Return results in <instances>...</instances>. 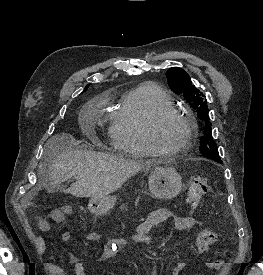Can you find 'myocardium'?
I'll return each instance as SVG.
<instances>
[{"label": "myocardium", "mask_w": 263, "mask_h": 275, "mask_svg": "<svg viewBox=\"0 0 263 275\" xmlns=\"http://www.w3.org/2000/svg\"><path fill=\"white\" fill-rule=\"evenodd\" d=\"M169 118H178L182 120L186 124L188 129V134L185 142L181 146L174 149L163 148L156 139V132L158 127L163 121ZM196 131V121L190 114L180 111L174 107L163 108L156 111L148 119L145 125V138L154 154L159 156H175L190 149L196 137Z\"/></svg>", "instance_id": "obj_1"}]
</instances>
